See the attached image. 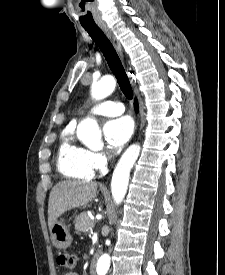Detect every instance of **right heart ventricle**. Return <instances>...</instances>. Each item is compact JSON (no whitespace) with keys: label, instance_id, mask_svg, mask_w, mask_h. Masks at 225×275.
Here are the masks:
<instances>
[{"label":"right heart ventricle","instance_id":"1","mask_svg":"<svg viewBox=\"0 0 225 275\" xmlns=\"http://www.w3.org/2000/svg\"><path fill=\"white\" fill-rule=\"evenodd\" d=\"M59 171L70 178L90 179L95 170L89 163L87 151L71 143L69 135L63 140L57 158Z\"/></svg>","mask_w":225,"mask_h":275}]
</instances>
